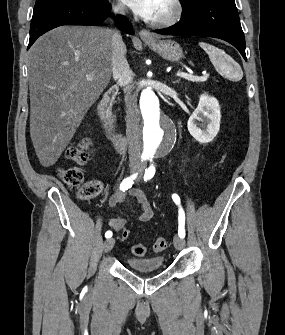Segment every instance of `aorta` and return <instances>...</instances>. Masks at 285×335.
<instances>
[{
    "label": "aorta",
    "mask_w": 285,
    "mask_h": 335,
    "mask_svg": "<svg viewBox=\"0 0 285 335\" xmlns=\"http://www.w3.org/2000/svg\"><path fill=\"white\" fill-rule=\"evenodd\" d=\"M140 112H143L142 125L136 127L138 147L144 160H160L172 152L179 130L174 119H167L164 102L165 95L158 90H137Z\"/></svg>",
    "instance_id": "aorta-1"
}]
</instances>
